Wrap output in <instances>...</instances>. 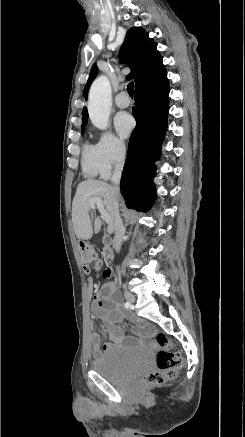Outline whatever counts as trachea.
Returning <instances> with one entry per match:
<instances>
[{"label":"trachea","instance_id":"trachea-1","mask_svg":"<svg viewBox=\"0 0 245 437\" xmlns=\"http://www.w3.org/2000/svg\"><path fill=\"white\" fill-rule=\"evenodd\" d=\"M127 91H128V93H129V96H130L131 98H133V95H134V83H133V82H130V83L128 84V86H127Z\"/></svg>","mask_w":245,"mask_h":437}]
</instances>
